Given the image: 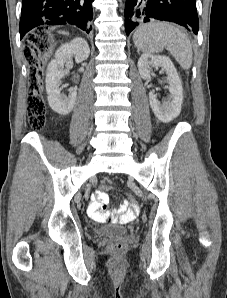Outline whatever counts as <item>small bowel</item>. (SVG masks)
Masks as SVG:
<instances>
[{"mask_svg": "<svg viewBox=\"0 0 227 298\" xmlns=\"http://www.w3.org/2000/svg\"><path fill=\"white\" fill-rule=\"evenodd\" d=\"M107 191L108 190H97L92 196V201L88 207V214L94 220L103 221L110 217V211L106 208L109 202ZM119 212H122L123 214L122 219L127 221L138 212V207H129L125 205L124 202L119 208Z\"/></svg>", "mask_w": 227, "mask_h": 298, "instance_id": "c3829d8e", "label": "small bowel"}]
</instances>
